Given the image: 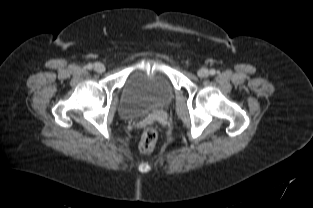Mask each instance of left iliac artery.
<instances>
[{
  "mask_svg": "<svg viewBox=\"0 0 313 208\" xmlns=\"http://www.w3.org/2000/svg\"><path fill=\"white\" fill-rule=\"evenodd\" d=\"M215 73H216V72H215L214 69H211V70H210V74H211V75H215Z\"/></svg>",
  "mask_w": 313,
  "mask_h": 208,
  "instance_id": "left-iliac-artery-1",
  "label": "left iliac artery"
}]
</instances>
